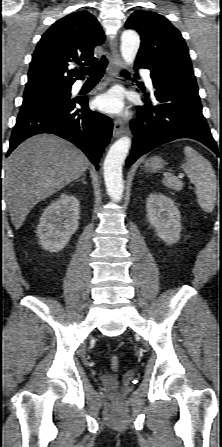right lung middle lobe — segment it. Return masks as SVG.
I'll use <instances>...</instances> for the list:
<instances>
[{
	"mask_svg": "<svg viewBox=\"0 0 222 447\" xmlns=\"http://www.w3.org/2000/svg\"><path fill=\"white\" fill-rule=\"evenodd\" d=\"M71 99L70 89L24 94L19 115L28 114Z\"/></svg>",
	"mask_w": 222,
	"mask_h": 447,
	"instance_id": "dd1d6c3e",
	"label": "right lung middle lobe"
}]
</instances>
